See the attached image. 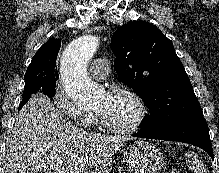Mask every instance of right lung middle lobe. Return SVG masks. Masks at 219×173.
Masks as SVG:
<instances>
[{
    "instance_id": "dd1d6c3e",
    "label": "right lung middle lobe",
    "mask_w": 219,
    "mask_h": 173,
    "mask_svg": "<svg viewBox=\"0 0 219 173\" xmlns=\"http://www.w3.org/2000/svg\"><path fill=\"white\" fill-rule=\"evenodd\" d=\"M25 86L22 98L33 93L42 91L48 97L55 95L56 80L58 76L52 70H45L42 67L28 66L25 76Z\"/></svg>"
}]
</instances>
